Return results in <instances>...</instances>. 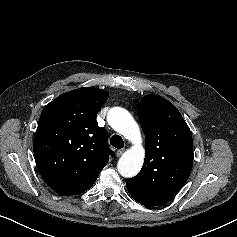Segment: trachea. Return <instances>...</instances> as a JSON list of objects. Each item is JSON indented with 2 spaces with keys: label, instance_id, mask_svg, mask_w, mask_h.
Segmentation results:
<instances>
[{
  "label": "trachea",
  "instance_id": "trachea-1",
  "mask_svg": "<svg viewBox=\"0 0 237 237\" xmlns=\"http://www.w3.org/2000/svg\"><path fill=\"white\" fill-rule=\"evenodd\" d=\"M110 144L117 149H121L124 147V141L119 135H113L110 139Z\"/></svg>",
  "mask_w": 237,
  "mask_h": 237
}]
</instances>
